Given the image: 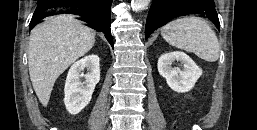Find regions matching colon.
I'll list each match as a JSON object with an SVG mask.
<instances>
[{
  "mask_svg": "<svg viewBox=\"0 0 257 130\" xmlns=\"http://www.w3.org/2000/svg\"><path fill=\"white\" fill-rule=\"evenodd\" d=\"M174 128H175V130H177L178 127L176 126V127H174Z\"/></svg>",
  "mask_w": 257,
  "mask_h": 130,
  "instance_id": "colon-1",
  "label": "colon"
}]
</instances>
